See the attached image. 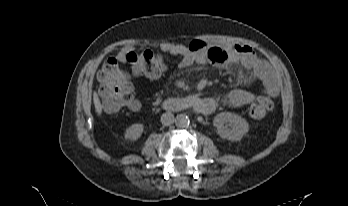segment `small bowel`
<instances>
[{
  "label": "small bowel",
  "mask_w": 348,
  "mask_h": 206,
  "mask_svg": "<svg viewBox=\"0 0 348 206\" xmlns=\"http://www.w3.org/2000/svg\"><path fill=\"white\" fill-rule=\"evenodd\" d=\"M161 51L180 58L179 67L187 69L196 63H211L227 72H232L230 63H240L250 70L257 78L262 80L272 97H277L278 79L273 68L245 44L209 45L203 41H192L190 44L162 42L156 45ZM125 62V53L119 55ZM255 95L245 89L231 90L225 97V102L230 106H244L251 104ZM137 108V107H136ZM135 108V109H136Z\"/></svg>",
  "instance_id": "small-bowel-1"
}]
</instances>
